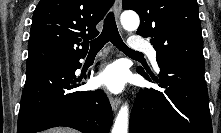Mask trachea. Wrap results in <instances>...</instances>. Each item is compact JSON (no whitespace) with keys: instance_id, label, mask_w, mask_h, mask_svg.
<instances>
[{"instance_id":"1","label":"trachea","mask_w":221,"mask_h":133,"mask_svg":"<svg viewBox=\"0 0 221 133\" xmlns=\"http://www.w3.org/2000/svg\"><path fill=\"white\" fill-rule=\"evenodd\" d=\"M109 41L127 55L140 57L143 56L142 53L133 51L124 44L119 35L114 14L112 12H110L106 16L104 20L103 31L101 32V34L96 39L90 42V52L100 51L103 46Z\"/></svg>"}]
</instances>
